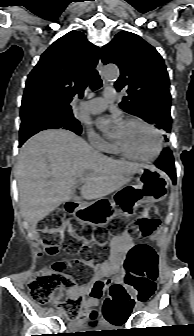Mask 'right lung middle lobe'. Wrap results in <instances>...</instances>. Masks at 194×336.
Segmentation results:
<instances>
[{"mask_svg":"<svg viewBox=\"0 0 194 336\" xmlns=\"http://www.w3.org/2000/svg\"><path fill=\"white\" fill-rule=\"evenodd\" d=\"M67 129L81 134V125L70 113H42L30 120L22 121L19 131L20 141L46 129Z\"/></svg>","mask_w":194,"mask_h":336,"instance_id":"right-lung-middle-lobe-1","label":"right lung middle lobe"}]
</instances>
